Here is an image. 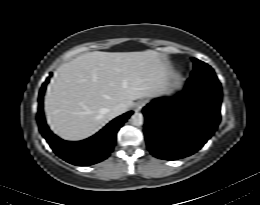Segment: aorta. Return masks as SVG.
<instances>
[{
    "label": "aorta",
    "instance_id": "aorta-1",
    "mask_svg": "<svg viewBox=\"0 0 260 205\" xmlns=\"http://www.w3.org/2000/svg\"><path fill=\"white\" fill-rule=\"evenodd\" d=\"M131 122L135 126H141L143 124V115L139 112H135L131 116Z\"/></svg>",
    "mask_w": 260,
    "mask_h": 205
}]
</instances>
